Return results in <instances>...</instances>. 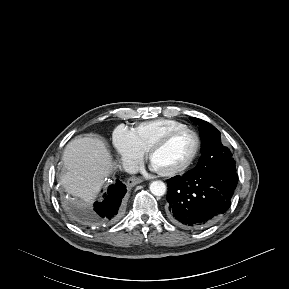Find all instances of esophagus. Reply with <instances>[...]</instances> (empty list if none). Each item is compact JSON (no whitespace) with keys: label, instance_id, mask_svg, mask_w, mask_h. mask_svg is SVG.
Wrapping results in <instances>:
<instances>
[{"label":"esophagus","instance_id":"1","mask_svg":"<svg viewBox=\"0 0 289 289\" xmlns=\"http://www.w3.org/2000/svg\"><path fill=\"white\" fill-rule=\"evenodd\" d=\"M141 182H143V180L141 178H139V177H131V178L128 179V185L130 187H133V186H135V185H137V184H139Z\"/></svg>","mask_w":289,"mask_h":289}]
</instances>
